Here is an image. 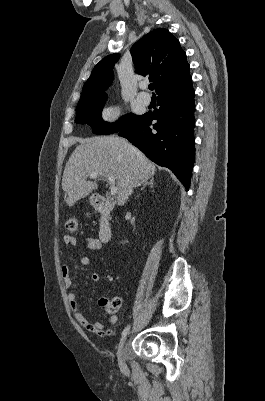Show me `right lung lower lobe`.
Returning <instances> with one entry per match:
<instances>
[{"label": "right lung lower lobe", "instance_id": "1", "mask_svg": "<svg viewBox=\"0 0 265 401\" xmlns=\"http://www.w3.org/2000/svg\"><path fill=\"white\" fill-rule=\"evenodd\" d=\"M157 101L158 110L145 113L140 121L119 131V136L128 139L156 164L169 168L188 191L195 156L192 82L160 93Z\"/></svg>", "mask_w": 265, "mask_h": 401}]
</instances>
